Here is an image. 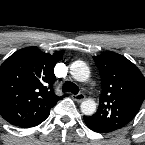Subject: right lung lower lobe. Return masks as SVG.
<instances>
[{
  "mask_svg": "<svg viewBox=\"0 0 145 145\" xmlns=\"http://www.w3.org/2000/svg\"><path fill=\"white\" fill-rule=\"evenodd\" d=\"M48 116L36 121V122H33V123H30V124H26V125H23V126H20L22 128H29V127H34V126H37L39 125L40 123H42Z\"/></svg>",
  "mask_w": 145,
  "mask_h": 145,
  "instance_id": "1",
  "label": "right lung lower lobe"
}]
</instances>
